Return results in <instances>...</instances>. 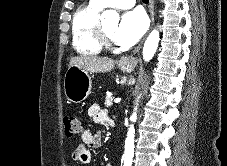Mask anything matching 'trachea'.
<instances>
[{
  "instance_id": "1",
  "label": "trachea",
  "mask_w": 227,
  "mask_h": 166,
  "mask_svg": "<svg viewBox=\"0 0 227 166\" xmlns=\"http://www.w3.org/2000/svg\"><path fill=\"white\" fill-rule=\"evenodd\" d=\"M143 2L147 4L149 2V0H143Z\"/></svg>"
}]
</instances>
